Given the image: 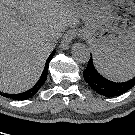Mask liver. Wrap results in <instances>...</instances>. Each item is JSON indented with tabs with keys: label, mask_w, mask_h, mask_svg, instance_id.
I'll use <instances>...</instances> for the list:
<instances>
[{
	"label": "liver",
	"mask_w": 135,
	"mask_h": 135,
	"mask_svg": "<svg viewBox=\"0 0 135 135\" xmlns=\"http://www.w3.org/2000/svg\"><path fill=\"white\" fill-rule=\"evenodd\" d=\"M80 18L65 0H0V91L30 89L55 46L52 37Z\"/></svg>",
	"instance_id": "1"
}]
</instances>
